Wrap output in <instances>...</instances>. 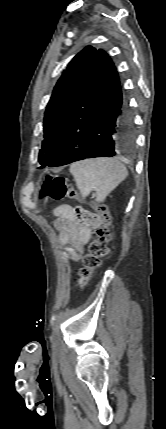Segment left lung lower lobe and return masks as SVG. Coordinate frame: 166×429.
Wrapping results in <instances>:
<instances>
[{
  "mask_svg": "<svg viewBox=\"0 0 166 429\" xmlns=\"http://www.w3.org/2000/svg\"><path fill=\"white\" fill-rule=\"evenodd\" d=\"M134 137L132 114L117 70L109 55L99 49L63 135L41 168L128 152Z\"/></svg>",
  "mask_w": 166,
  "mask_h": 429,
  "instance_id": "obj_1",
  "label": "left lung lower lobe"
}]
</instances>
